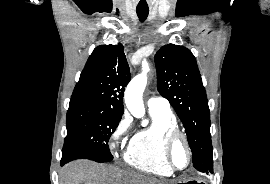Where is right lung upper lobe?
Listing matches in <instances>:
<instances>
[{
  "instance_id": "right-lung-upper-lobe-1",
  "label": "right lung upper lobe",
  "mask_w": 270,
  "mask_h": 184,
  "mask_svg": "<svg viewBox=\"0 0 270 184\" xmlns=\"http://www.w3.org/2000/svg\"><path fill=\"white\" fill-rule=\"evenodd\" d=\"M122 44L100 45L89 57L70 102H87L122 117L123 94L131 76Z\"/></svg>"
}]
</instances>
